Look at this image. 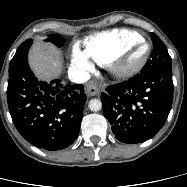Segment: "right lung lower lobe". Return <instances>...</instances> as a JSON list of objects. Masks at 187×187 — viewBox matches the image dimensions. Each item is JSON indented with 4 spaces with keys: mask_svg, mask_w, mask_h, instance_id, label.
<instances>
[{
    "mask_svg": "<svg viewBox=\"0 0 187 187\" xmlns=\"http://www.w3.org/2000/svg\"><path fill=\"white\" fill-rule=\"evenodd\" d=\"M32 40L24 41L9 65L7 99L19 133L32 145L61 150L78 137L86 102L84 86L60 79L38 81L27 63Z\"/></svg>",
    "mask_w": 187,
    "mask_h": 187,
    "instance_id": "1",
    "label": "right lung lower lobe"
}]
</instances>
